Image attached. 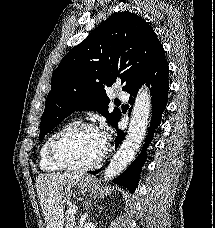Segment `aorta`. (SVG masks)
I'll return each mask as SVG.
<instances>
[{"instance_id":"762f6f07","label":"aorta","mask_w":215,"mask_h":228,"mask_svg":"<svg viewBox=\"0 0 215 228\" xmlns=\"http://www.w3.org/2000/svg\"><path fill=\"white\" fill-rule=\"evenodd\" d=\"M152 110V96L147 86L140 88L134 102L128 134L117 154L113 156L108 168L103 172V182H109L119 176L132 162L145 136L149 116Z\"/></svg>"}]
</instances>
